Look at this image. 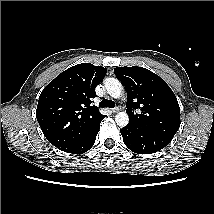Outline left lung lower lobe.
Instances as JSON below:
<instances>
[{
	"label": "left lung lower lobe",
	"instance_id": "obj_1",
	"mask_svg": "<svg viewBox=\"0 0 214 214\" xmlns=\"http://www.w3.org/2000/svg\"><path fill=\"white\" fill-rule=\"evenodd\" d=\"M125 145L138 154H152L168 145L173 137L127 125L121 129Z\"/></svg>",
	"mask_w": 214,
	"mask_h": 214
}]
</instances>
